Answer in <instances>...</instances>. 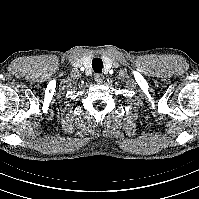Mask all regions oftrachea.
Masks as SVG:
<instances>
[{
    "instance_id": "obj_1",
    "label": "trachea",
    "mask_w": 199,
    "mask_h": 199,
    "mask_svg": "<svg viewBox=\"0 0 199 199\" xmlns=\"http://www.w3.org/2000/svg\"><path fill=\"white\" fill-rule=\"evenodd\" d=\"M92 68L95 73H101L103 68V62L100 58H94L92 60Z\"/></svg>"
}]
</instances>
